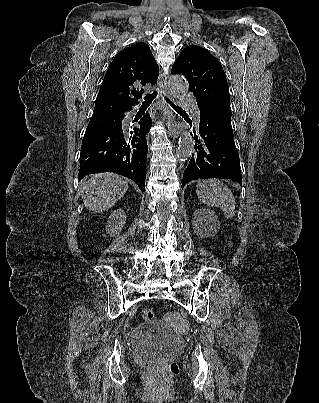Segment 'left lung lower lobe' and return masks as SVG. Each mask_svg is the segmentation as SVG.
Masks as SVG:
<instances>
[{
	"instance_id": "0a47b994",
	"label": "left lung lower lobe",
	"mask_w": 319,
	"mask_h": 403,
	"mask_svg": "<svg viewBox=\"0 0 319 403\" xmlns=\"http://www.w3.org/2000/svg\"><path fill=\"white\" fill-rule=\"evenodd\" d=\"M200 110L199 140L184 171V185L205 178L233 179L242 185L240 160L231 126V108L227 105H203Z\"/></svg>"
}]
</instances>
